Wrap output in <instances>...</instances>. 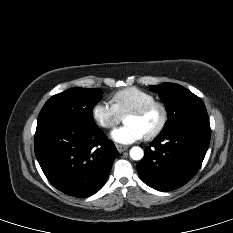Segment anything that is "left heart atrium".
Here are the masks:
<instances>
[{"mask_svg":"<svg viewBox=\"0 0 233 233\" xmlns=\"http://www.w3.org/2000/svg\"><path fill=\"white\" fill-rule=\"evenodd\" d=\"M144 137V132L134 124H125L111 132V138L121 144H131Z\"/></svg>","mask_w":233,"mask_h":233,"instance_id":"1","label":"left heart atrium"}]
</instances>
